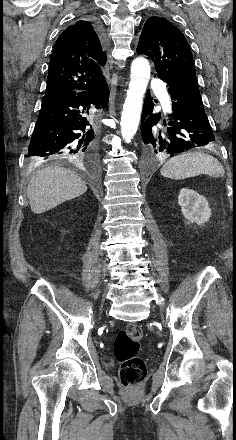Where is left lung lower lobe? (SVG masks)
Listing matches in <instances>:
<instances>
[{"instance_id":"obj_1","label":"left lung lower lobe","mask_w":236,"mask_h":440,"mask_svg":"<svg viewBox=\"0 0 236 440\" xmlns=\"http://www.w3.org/2000/svg\"><path fill=\"white\" fill-rule=\"evenodd\" d=\"M172 113L164 127H157L161 114H153L149 91L142 111L141 134L146 153L174 156L190 148L211 144L215 137L204 111L197 80L181 78L169 84Z\"/></svg>"}]
</instances>
